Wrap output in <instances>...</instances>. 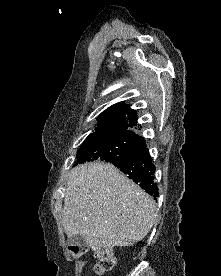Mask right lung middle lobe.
<instances>
[{
	"mask_svg": "<svg viewBox=\"0 0 221 276\" xmlns=\"http://www.w3.org/2000/svg\"><path fill=\"white\" fill-rule=\"evenodd\" d=\"M144 138L127 134L112 133L86 138L77 153V163L101 160L113 162L126 158L132 152L142 147Z\"/></svg>",
	"mask_w": 221,
	"mask_h": 276,
	"instance_id": "right-lung-middle-lobe-1",
	"label": "right lung middle lobe"
}]
</instances>
